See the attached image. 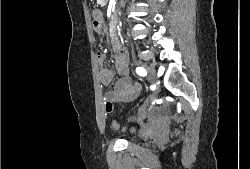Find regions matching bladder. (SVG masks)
<instances>
[{"instance_id": "31cf9c89", "label": "bladder", "mask_w": 250, "mask_h": 169, "mask_svg": "<svg viewBox=\"0 0 250 169\" xmlns=\"http://www.w3.org/2000/svg\"><path fill=\"white\" fill-rule=\"evenodd\" d=\"M138 140H139V136H138V135H134V136H131V137L128 139L127 143H128V144H132V143H134V142H136V141H138Z\"/></svg>"}]
</instances>
